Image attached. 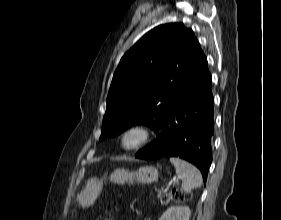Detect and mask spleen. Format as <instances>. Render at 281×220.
Returning <instances> with one entry per match:
<instances>
[{"label":"spleen","mask_w":281,"mask_h":220,"mask_svg":"<svg viewBox=\"0 0 281 220\" xmlns=\"http://www.w3.org/2000/svg\"><path fill=\"white\" fill-rule=\"evenodd\" d=\"M177 176L182 180V188L189 191L202 185L203 179L200 171L191 163L180 158L171 157Z\"/></svg>","instance_id":"1"}]
</instances>
